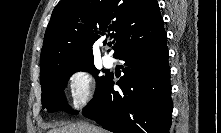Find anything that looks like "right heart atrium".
Listing matches in <instances>:
<instances>
[{"mask_svg": "<svg viewBox=\"0 0 221 133\" xmlns=\"http://www.w3.org/2000/svg\"><path fill=\"white\" fill-rule=\"evenodd\" d=\"M67 86L71 103L77 110L86 107L94 96L95 81L91 72L86 68L73 70L68 75Z\"/></svg>", "mask_w": 221, "mask_h": 133, "instance_id": "d8ad5b80", "label": "right heart atrium"}]
</instances>
